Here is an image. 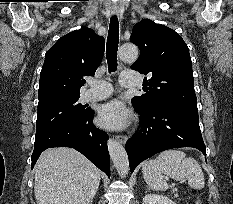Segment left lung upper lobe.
<instances>
[{"label": "left lung upper lobe", "instance_id": "obj_1", "mask_svg": "<svg viewBox=\"0 0 233 204\" xmlns=\"http://www.w3.org/2000/svg\"><path fill=\"white\" fill-rule=\"evenodd\" d=\"M130 41L141 51L131 68L147 75L143 88L146 94L132 99L136 110L161 103L197 107L189 50L178 33L144 19L134 26Z\"/></svg>", "mask_w": 233, "mask_h": 204}]
</instances>
